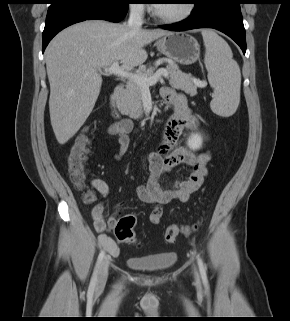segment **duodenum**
Returning <instances> with one entry per match:
<instances>
[{"label": "duodenum", "mask_w": 290, "mask_h": 321, "mask_svg": "<svg viewBox=\"0 0 290 321\" xmlns=\"http://www.w3.org/2000/svg\"><path fill=\"white\" fill-rule=\"evenodd\" d=\"M124 86L123 84H117L115 88L113 89L111 95H110V107L112 114L116 117H118L121 113V107L120 102L124 95Z\"/></svg>", "instance_id": "duodenum-1"}]
</instances>
